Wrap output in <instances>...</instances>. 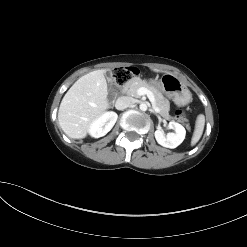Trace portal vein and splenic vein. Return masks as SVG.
Listing matches in <instances>:
<instances>
[{"label":"portal vein and splenic vein","instance_id":"18ae733b","mask_svg":"<svg viewBox=\"0 0 247 247\" xmlns=\"http://www.w3.org/2000/svg\"><path fill=\"white\" fill-rule=\"evenodd\" d=\"M137 93H138L139 96L147 95L148 99L152 103V106H153L154 110L156 112L159 111L158 108L155 106V97H154V94L150 90H148L145 87H141V88L138 89Z\"/></svg>","mask_w":247,"mask_h":247}]
</instances>
